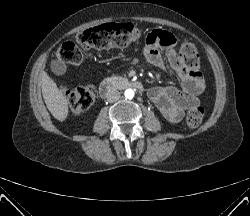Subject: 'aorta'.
Wrapping results in <instances>:
<instances>
[{
    "mask_svg": "<svg viewBox=\"0 0 250 216\" xmlns=\"http://www.w3.org/2000/svg\"><path fill=\"white\" fill-rule=\"evenodd\" d=\"M124 96H125L127 99H132V98L134 97V91H133L132 89H127V90H125Z\"/></svg>",
    "mask_w": 250,
    "mask_h": 216,
    "instance_id": "762f6f07",
    "label": "aorta"
}]
</instances>
